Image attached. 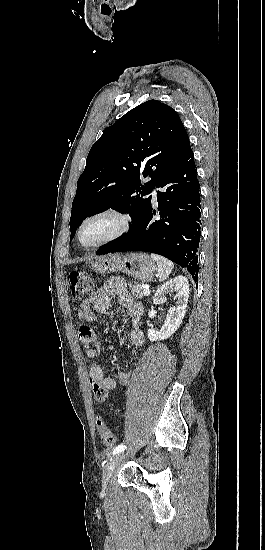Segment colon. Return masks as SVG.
<instances>
[{
  "label": "colon",
  "instance_id": "colon-1",
  "mask_svg": "<svg viewBox=\"0 0 265 550\" xmlns=\"http://www.w3.org/2000/svg\"><path fill=\"white\" fill-rule=\"evenodd\" d=\"M71 294L75 298H82L92 294L95 290V283L86 273L81 270H71L68 273ZM94 398L97 402L103 403L106 401V394L99 389L95 384H92ZM96 427L100 432L103 444L106 447H112L115 443L114 434L107 428L104 420L100 417L96 418Z\"/></svg>",
  "mask_w": 265,
  "mask_h": 550
}]
</instances>
